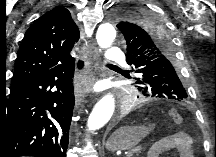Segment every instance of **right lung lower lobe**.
<instances>
[{
    "label": "right lung lower lobe",
    "mask_w": 216,
    "mask_h": 157,
    "mask_svg": "<svg viewBox=\"0 0 216 157\" xmlns=\"http://www.w3.org/2000/svg\"><path fill=\"white\" fill-rule=\"evenodd\" d=\"M74 63L57 65L10 89L0 111V157H66Z\"/></svg>",
    "instance_id": "1"
}]
</instances>
